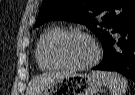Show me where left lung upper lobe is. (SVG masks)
Returning <instances> with one entry per match:
<instances>
[{
  "label": "left lung upper lobe",
  "mask_w": 135,
  "mask_h": 95,
  "mask_svg": "<svg viewBox=\"0 0 135 95\" xmlns=\"http://www.w3.org/2000/svg\"><path fill=\"white\" fill-rule=\"evenodd\" d=\"M134 14L135 0H44L36 26L48 20L81 23L103 43L111 34L107 29L115 30ZM98 15L103 16L102 21L95 19Z\"/></svg>",
  "instance_id": "1"
}]
</instances>
